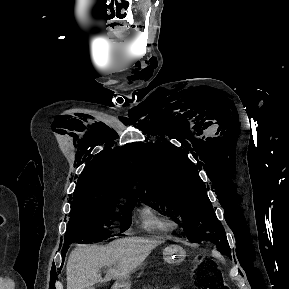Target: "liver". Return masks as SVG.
<instances>
[{
  "label": "liver",
  "mask_w": 289,
  "mask_h": 289,
  "mask_svg": "<svg viewBox=\"0 0 289 289\" xmlns=\"http://www.w3.org/2000/svg\"><path fill=\"white\" fill-rule=\"evenodd\" d=\"M161 242L129 237L108 246L78 245L68 258L67 289H94L99 282L129 276ZM103 266L109 267L104 279L100 274Z\"/></svg>",
  "instance_id": "liver-1"
}]
</instances>
